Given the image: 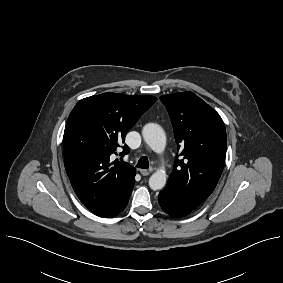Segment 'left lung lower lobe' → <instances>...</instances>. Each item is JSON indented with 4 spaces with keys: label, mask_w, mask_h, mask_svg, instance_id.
Listing matches in <instances>:
<instances>
[{
    "label": "left lung lower lobe",
    "mask_w": 283,
    "mask_h": 283,
    "mask_svg": "<svg viewBox=\"0 0 283 283\" xmlns=\"http://www.w3.org/2000/svg\"><path fill=\"white\" fill-rule=\"evenodd\" d=\"M158 200L162 210L172 217L185 216L195 209L186 204L179 194L168 184L165 189L159 193Z\"/></svg>",
    "instance_id": "left-lung-lower-lobe-1"
}]
</instances>
